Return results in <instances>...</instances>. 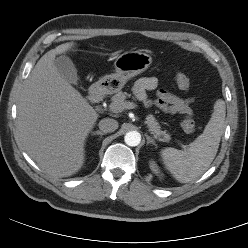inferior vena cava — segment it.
Instances as JSON below:
<instances>
[{
  "label": "inferior vena cava",
  "instance_id": "inferior-vena-cava-1",
  "mask_svg": "<svg viewBox=\"0 0 248 248\" xmlns=\"http://www.w3.org/2000/svg\"><path fill=\"white\" fill-rule=\"evenodd\" d=\"M98 125L104 133L114 132L118 128V122L111 118L102 119Z\"/></svg>",
  "mask_w": 248,
  "mask_h": 248
}]
</instances>
